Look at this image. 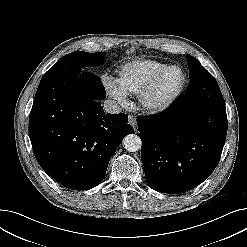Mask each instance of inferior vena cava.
Listing matches in <instances>:
<instances>
[{
    "label": "inferior vena cava",
    "instance_id": "obj_1",
    "mask_svg": "<svg viewBox=\"0 0 247 247\" xmlns=\"http://www.w3.org/2000/svg\"><path fill=\"white\" fill-rule=\"evenodd\" d=\"M104 111L111 114L121 112V107L114 100H105L103 104Z\"/></svg>",
    "mask_w": 247,
    "mask_h": 247
}]
</instances>
